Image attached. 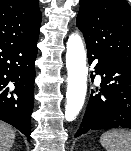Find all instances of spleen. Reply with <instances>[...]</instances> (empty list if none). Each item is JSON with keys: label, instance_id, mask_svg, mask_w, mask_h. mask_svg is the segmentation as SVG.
<instances>
[{"label": "spleen", "instance_id": "1", "mask_svg": "<svg viewBox=\"0 0 131 151\" xmlns=\"http://www.w3.org/2000/svg\"><path fill=\"white\" fill-rule=\"evenodd\" d=\"M101 145L106 151H131V132L126 130H111L100 137Z\"/></svg>", "mask_w": 131, "mask_h": 151}]
</instances>
